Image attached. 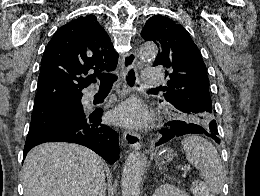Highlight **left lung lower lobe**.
Here are the masks:
<instances>
[{
  "label": "left lung lower lobe",
  "instance_id": "left-lung-lower-lobe-1",
  "mask_svg": "<svg viewBox=\"0 0 260 196\" xmlns=\"http://www.w3.org/2000/svg\"><path fill=\"white\" fill-rule=\"evenodd\" d=\"M166 128L162 129L160 133L163 135L162 138L156 146L163 144L175 136H182L185 134L196 133L205 134L212 139H214L218 144L220 143L218 136V130L216 126V121L210 123L208 127H202L195 123H189L186 121H171L166 123Z\"/></svg>",
  "mask_w": 260,
  "mask_h": 196
}]
</instances>
